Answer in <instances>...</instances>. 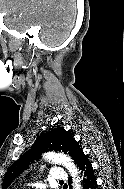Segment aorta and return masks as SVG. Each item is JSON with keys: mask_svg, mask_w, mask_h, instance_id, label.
Instances as JSON below:
<instances>
[{"mask_svg": "<svg viewBox=\"0 0 124 189\" xmlns=\"http://www.w3.org/2000/svg\"><path fill=\"white\" fill-rule=\"evenodd\" d=\"M44 158L46 160L54 162L55 164H61L65 168H67V170L70 172L71 176L73 177V185H74L73 189H80V184H79L80 180L78 178V171L70 157L61 153L48 152L44 155Z\"/></svg>", "mask_w": 124, "mask_h": 189, "instance_id": "obj_1", "label": "aorta"}]
</instances>
